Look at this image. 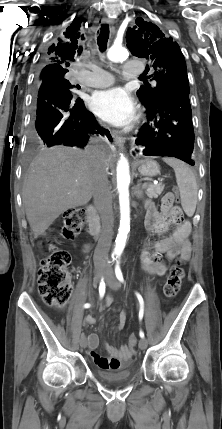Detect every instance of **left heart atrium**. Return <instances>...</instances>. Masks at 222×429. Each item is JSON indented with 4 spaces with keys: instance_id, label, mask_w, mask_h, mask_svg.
Instances as JSON below:
<instances>
[{
    "instance_id": "left-heart-atrium-1",
    "label": "left heart atrium",
    "mask_w": 222,
    "mask_h": 429,
    "mask_svg": "<svg viewBox=\"0 0 222 429\" xmlns=\"http://www.w3.org/2000/svg\"><path fill=\"white\" fill-rule=\"evenodd\" d=\"M92 109L101 119L117 126L127 124L135 114L130 95L120 87L97 92L92 99Z\"/></svg>"
}]
</instances>
